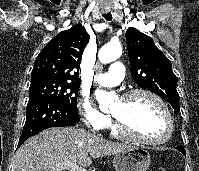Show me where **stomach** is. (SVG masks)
Masks as SVG:
<instances>
[{
  "label": "stomach",
  "instance_id": "obj_1",
  "mask_svg": "<svg viewBox=\"0 0 199 171\" xmlns=\"http://www.w3.org/2000/svg\"><path fill=\"white\" fill-rule=\"evenodd\" d=\"M150 162L149 152L139 147L119 152L113 158L116 171H147Z\"/></svg>",
  "mask_w": 199,
  "mask_h": 171
}]
</instances>
